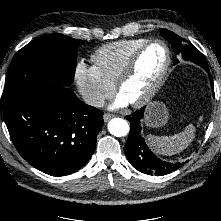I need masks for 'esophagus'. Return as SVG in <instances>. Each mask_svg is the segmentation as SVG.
Instances as JSON below:
<instances>
[{"label":"esophagus","mask_w":221,"mask_h":221,"mask_svg":"<svg viewBox=\"0 0 221 221\" xmlns=\"http://www.w3.org/2000/svg\"><path fill=\"white\" fill-rule=\"evenodd\" d=\"M113 117H114L113 114L105 113L104 116H103V119H104L105 122H107V121H109Z\"/></svg>","instance_id":"esophagus-1"}]
</instances>
